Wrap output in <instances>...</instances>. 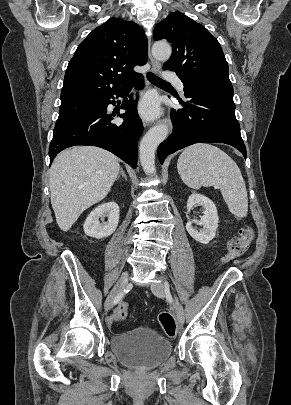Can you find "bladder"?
<instances>
[{
    "instance_id": "1",
    "label": "bladder",
    "mask_w": 291,
    "mask_h": 405,
    "mask_svg": "<svg viewBox=\"0 0 291 405\" xmlns=\"http://www.w3.org/2000/svg\"><path fill=\"white\" fill-rule=\"evenodd\" d=\"M111 350L125 365L151 369L170 357L172 343L149 327H137L114 336Z\"/></svg>"
}]
</instances>
